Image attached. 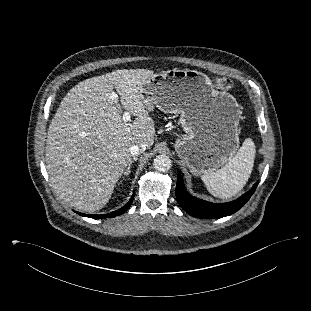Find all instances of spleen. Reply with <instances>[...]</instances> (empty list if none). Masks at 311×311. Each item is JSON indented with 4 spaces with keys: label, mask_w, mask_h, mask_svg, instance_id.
<instances>
[{
    "label": "spleen",
    "mask_w": 311,
    "mask_h": 311,
    "mask_svg": "<svg viewBox=\"0 0 311 311\" xmlns=\"http://www.w3.org/2000/svg\"><path fill=\"white\" fill-rule=\"evenodd\" d=\"M256 149L251 138L245 139L236 155L221 169L202 174L207 190L215 197L228 199L246 185L254 165Z\"/></svg>",
    "instance_id": "1"
}]
</instances>
